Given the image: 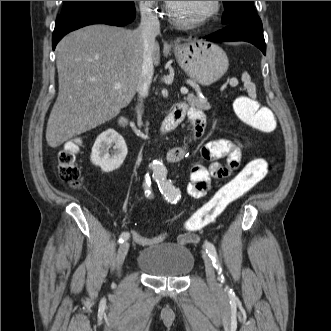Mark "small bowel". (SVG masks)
Wrapping results in <instances>:
<instances>
[{"label": "small bowel", "instance_id": "small-bowel-1", "mask_svg": "<svg viewBox=\"0 0 331 331\" xmlns=\"http://www.w3.org/2000/svg\"><path fill=\"white\" fill-rule=\"evenodd\" d=\"M177 106L184 111V115H187L191 122L192 133L189 140H199L206 128L205 113L199 108L187 107L183 103ZM186 153V146L173 147L167 153V160L169 163L180 162L185 158ZM200 156L203 161L209 164L197 163L191 168L187 191L195 198H201L206 195L210 189L212 179L231 178L238 172L242 159V145L228 139L213 140L203 145L200 150ZM220 159H226V163L218 162ZM165 237L166 234H160L153 238H145L135 232L132 233L133 240L141 245L158 243L163 241Z\"/></svg>", "mask_w": 331, "mask_h": 331}]
</instances>
